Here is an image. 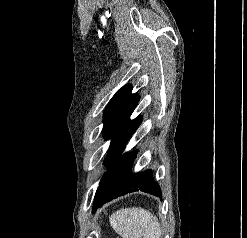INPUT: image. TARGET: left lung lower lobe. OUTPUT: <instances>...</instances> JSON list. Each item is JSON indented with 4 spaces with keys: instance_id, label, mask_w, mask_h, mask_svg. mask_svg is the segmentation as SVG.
Returning a JSON list of instances; mask_svg holds the SVG:
<instances>
[{
    "instance_id": "left-lung-lower-lobe-1",
    "label": "left lung lower lobe",
    "mask_w": 247,
    "mask_h": 238,
    "mask_svg": "<svg viewBox=\"0 0 247 238\" xmlns=\"http://www.w3.org/2000/svg\"><path fill=\"white\" fill-rule=\"evenodd\" d=\"M135 152L118 155L103 176L97 189V207L104 203L135 191H143L157 197L161 196V189L152 177V170L142 173H132Z\"/></svg>"
}]
</instances>
